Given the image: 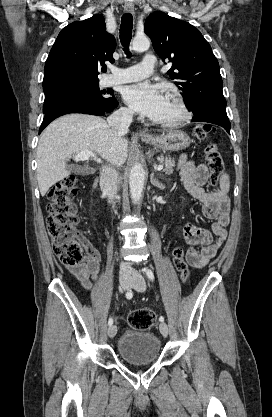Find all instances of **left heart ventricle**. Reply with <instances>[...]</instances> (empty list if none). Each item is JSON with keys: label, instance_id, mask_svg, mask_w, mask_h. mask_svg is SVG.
Returning a JSON list of instances; mask_svg holds the SVG:
<instances>
[{"label": "left heart ventricle", "instance_id": "b2bd125f", "mask_svg": "<svg viewBox=\"0 0 272 417\" xmlns=\"http://www.w3.org/2000/svg\"><path fill=\"white\" fill-rule=\"evenodd\" d=\"M180 116V110L176 103L167 97L165 106L156 121H170Z\"/></svg>", "mask_w": 272, "mask_h": 417}]
</instances>
